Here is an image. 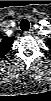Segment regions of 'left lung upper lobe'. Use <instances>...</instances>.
Segmentation results:
<instances>
[{"label": "left lung upper lobe", "instance_id": "5c2ea615", "mask_svg": "<svg viewBox=\"0 0 51 101\" xmlns=\"http://www.w3.org/2000/svg\"><path fill=\"white\" fill-rule=\"evenodd\" d=\"M48 45H49V46H51V43H50V42H48Z\"/></svg>", "mask_w": 51, "mask_h": 101}]
</instances>
